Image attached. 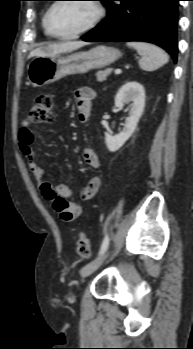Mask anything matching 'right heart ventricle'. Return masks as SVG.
<instances>
[{"label":"right heart ventricle","instance_id":"1","mask_svg":"<svg viewBox=\"0 0 193 349\" xmlns=\"http://www.w3.org/2000/svg\"><path fill=\"white\" fill-rule=\"evenodd\" d=\"M45 14H46V12L44 13V15H43V17H42V27H43V30H44V34H45L46 36H49V33H48V31H47V29H46V26H45Z\"/></svg>","mask_w":193,"mask_h":349}]
</instances>
